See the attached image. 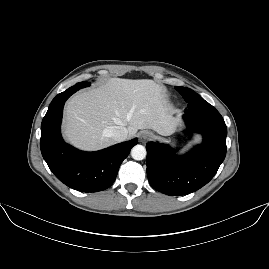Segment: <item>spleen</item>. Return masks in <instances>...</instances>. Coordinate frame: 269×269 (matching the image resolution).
Wrapping results in <instances>:
<instances>
[{"mask_svg":"<svg viewBox=\"0 0 269 269\" xmlns=\"http://www.w3.org/2000/svg\"><path fill=\"white\" fill-rule=\"evenodd\" d=\"M200 140H201L200 136H197V137L195 138V142H199Z\"/></svg>","mask_w":269,"mask_h":269,"instance_id":"3e777b00","label":"spleen"}]
</instances>
